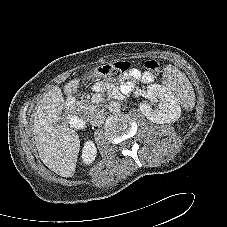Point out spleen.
I'll return each mask as SVG.
<instances>
[{
    "label": "spleen",
    "instance_id": "spleen-1",
    "mask_svg": "<svg viewBox=\"0 0 227 227\" xmlns=\"http://www.w3.org/2000/svg\"><path fill=\"white\" fill-rule=\"evenodd\" d=\"M163 87L174 96L176 101L185 109H192L195 105V95L191 83L186 76L175 67L164 69Z\"/></svg>",
    "mask_w": 227,
    "mask_h": 227
}]
</instances>
